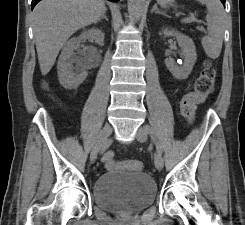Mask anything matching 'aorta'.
<instances>
[{"instance_id": "aorta-1", "label": "aorta", "mask_w": 245, "mask_h": 225, "mask_svg": "<svg viewBox=\"0 0 245 225\" xmlns=\"http://www.w3.org/2000/svg\"><path fill=\"white\" fill-rule=\"evenodd\" d=\"M145 0H128V12L132 19L138 21L142 15Z\"/></svg>"}]
</instances>
